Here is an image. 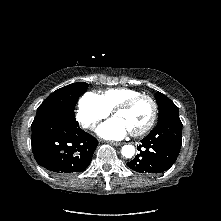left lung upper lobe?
Listing matches in <instances>:
<instances>
[{
  "label": "left lung upper lobe",
  "instance_id": "left-lung-upper-lobe-1",
  "mask_svg": "<svg viewBox=\"0 0 221 221\" xmlns=\"http://www.w3.org/2000/svg\"><path fill=\"white\" fill-rule=\"evenodd\" d=\"M155 98L159 108L158 124L168 120H180L178 107L168 97L157 92Z\"/></svg>",
  "mask_w": 221,
  "mask_h": 221
}]
</instances>
